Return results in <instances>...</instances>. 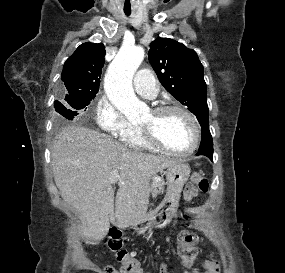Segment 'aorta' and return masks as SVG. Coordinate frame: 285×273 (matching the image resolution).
<instances>
[{
  "instance_id": "1",
  "label": "aorta",
  "mask_w": 285,
  "mask_h": 273,
  "mask_svg": "<svg viewBox=\"0 0 285 273\" xmlns=\"http://www.w3.org/2000/svg\"><path fill=\"white\" fill-rule=\"evenodd\" d=\"M144 54L140 46L122 47L104 78V89L110 102L129 119L138 118L148 110L132 89L133 75L142 63Z\"/></svg>"
}]
</instances>
